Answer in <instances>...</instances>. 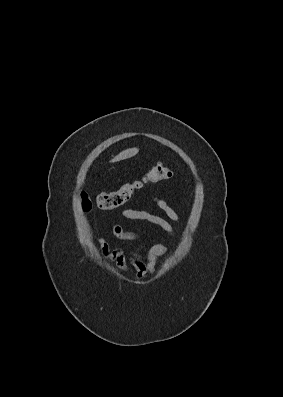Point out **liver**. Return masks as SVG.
Wrapping results in <instances>:
<instances>
[{
    "instance_id": "6515ba94",
    "label": "liver",
    "mask_w": 283,
    "mask_h": 397,
    "mask_svg": "<svg viewBox=\"0 0 283 397\" xmlns=\"http://www.w3.org/2000/svg\"><path fill=\"white\" fill-rule=\"evenodd\" d=\"M138 152H139L138 148L126 149V150L120 152L117 156H115L111 160V162H116V161H121V160H124V159L131 158V157L135 156Z\"/></svg>"
}]
</instances>
